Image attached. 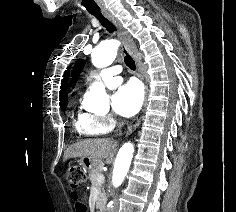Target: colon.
<instances>
[{
    "label": "colon",
    "instance_id": "1",
    "mask_svg": "<svg viewBox=\"0 0 236 212\" xmlns=\"http://www.w3.org/2000/svg\"><path fill=\"white\" fill-rule=\"evenodd\" d=\"M68 181L72 188L76 189L85 182V173L77 165H71L67 169ZM84 205V204H81Z\"/></svg>",
    "mask_w": 236,
    "mask_h": 212
}]
</instances>
